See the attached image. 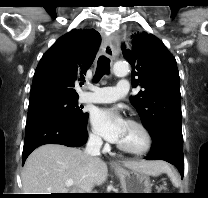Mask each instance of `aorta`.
Masks as SVG:
<instances>
[{
  "label": "aorta",
  "instance_id": "aorta-1",
  "mask_svg": "<svg viewBox=\"0 0 208 198\" xmlns=\"http://www.w3.org/2000/svg\"><path fill=\"white\" fill-rule=\"evenodd\" d=\"M129 72V66L126 62H116L113 66V73L117 77H124L128 74Z\"/></svg>",
  "mask_w": 208,
  "mask_h": 198
}]
</instances>
